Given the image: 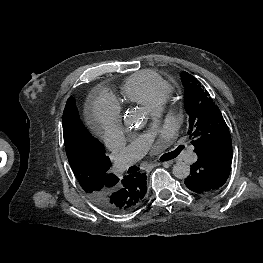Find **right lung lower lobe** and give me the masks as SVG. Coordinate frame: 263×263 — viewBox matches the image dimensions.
<instances>
[{
	"label": "right lung lower lobe",
	"instance_id": "98d812e1",
	"mask_svg": "<svg viewBox=\"0 0 263 263\" xmlns=\"http://www.w3.org/2000/svg\"><path fill=\"white\" fill-rule=\"evenodd\" d=\"M146 187V175L134 173L125 176L120 182L116 177L111 180L105 190L90 194L91 199L101 208L117 213L128 201V187L130 184Z\"/></svg>",
	"mask_w": 263,
	"mask_h": 263
}]
</instances>
